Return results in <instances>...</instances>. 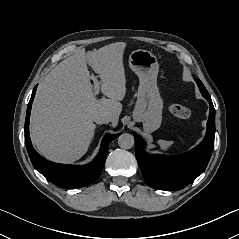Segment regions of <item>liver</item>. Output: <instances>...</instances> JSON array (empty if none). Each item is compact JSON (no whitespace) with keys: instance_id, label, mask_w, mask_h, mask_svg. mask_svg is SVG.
Instances as JSON below:
<instances>
[{"instance_id":"obj_1","label":"liver","mask_w":239,"mask_h":239,"mask_svg":"<svg viewBox=\"0 0 239 239\" xmlns=\"http://www.w3.org/2000/svg\"><path fill=\"white\" fill-rule=\"evenodd\" d=\"M126 44L116 42L96 51L75 53L60 62L39 85L32 106L31 140L47 159L61 163L79 160L94 137L96 115L106 113L116 127L126 94L123 54ZM90 63L99 74L98 100L91 84Z\"/></svg>"}]
</instances>
